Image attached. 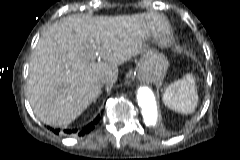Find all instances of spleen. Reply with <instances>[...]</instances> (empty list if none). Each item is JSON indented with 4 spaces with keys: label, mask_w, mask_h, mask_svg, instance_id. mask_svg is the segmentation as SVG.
<instances>
[{
    "label": "spleen",
    "mask_w": 240,
    "mask_h": 160,
    "mask_svg": "<svg viewBox=\"0 0 240 160\" xmlns=\"http://www.w3.org/2000/svg\"><path fill=\"white\" fill-rule=\"evenodd\" d=\"M162 100L167 107L180 113L194 112L198 95L193 75L186 74L182 79L170 84L166 88Z\"/></svg>",
    "instance_id": "obj_1"
}]
</instances>
